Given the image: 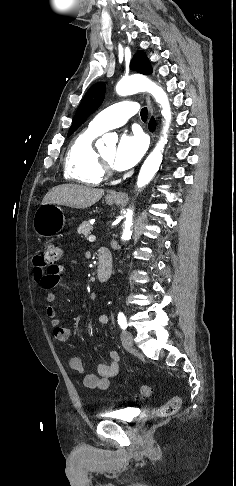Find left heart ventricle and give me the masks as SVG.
Here are the masks:
<instances>
[{
    "instance_id": "b2bd125f",
    "label": "left heart ventricle",
    "mask_w": 236,
    "mask_h": 486,
    "mask_svg": "<svg viewBox=\"0 0 236 486\" xmlns=\"http://www.w3.org/2000/svg\"><path fill=\"white\" fill-rule=\"evenodd\" d=\"M114 154H115V150L113 148L105 149L100 153L102 158L110 164H112L113 162Z\"/></svg>"
}]
</instances>
